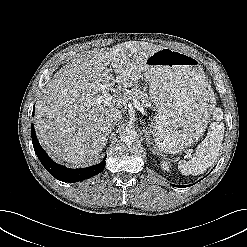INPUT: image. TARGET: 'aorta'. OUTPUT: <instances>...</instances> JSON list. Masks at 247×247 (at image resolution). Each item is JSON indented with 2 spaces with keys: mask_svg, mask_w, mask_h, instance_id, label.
Returning <instances> with one entry per match:
<instances>
[{
  "mask_svg": "<svg viewBox=\"0 0 247 247\" xmlns=\"http://www.w3.org/2000/svg\"><path fill=\"white\" fill-rule=\"evenodd\" d=\"M137 133L133 129H126L120 135L121 141L124 143H132L136 140Z\"/></svg>",
  "mask_w": 247,
  "mask_h": 247,
  "instance_id": "762f6f07",
  "label": "aorta"
}]
</instances>
